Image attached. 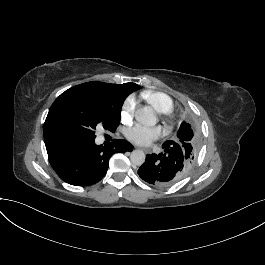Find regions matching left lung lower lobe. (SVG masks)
<instances>
[{
    "mask_svg": "<svg viewBox=\"0 0 265 265\" xmlns=\"http://www.w3.org/2000/svg\"><path fill=\"white\" fill-rule=\"evenodd\" d=\"M163 153L146 155V161L139 168L138 175L144 181L156 186H168L185 176L184 155L176 143H163Z\"/></svg>",
    "mask_w": 265,
    "mask_h": 265,
    "instance_id": "left-lung-lower-lobe-1",
    "label": "left lung lower lobe"
}]
</instances>
